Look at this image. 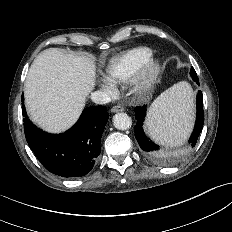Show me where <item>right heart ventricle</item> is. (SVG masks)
<instances>
[{
  "label": "right heart ventricle",
  "mask_w": 232,
  "mask_h": 232,
  "mask_svg": "<svg viewBox=\"0 0 232 232\" xmlns=\"http://www.w3.org/2000/svg\"><path fill=\"white\" fill-rule=\"evenodd\" d=\"M152 56L153 50L146 46L128 49L109 60L106 66V74L112 81H128Z\"/></svg>",
  "instance_id": "1"
}]
</instances>
